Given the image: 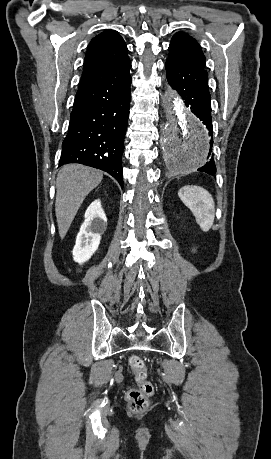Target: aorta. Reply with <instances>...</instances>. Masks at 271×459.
Returning <instances> with one entry per match:
<instances>
[{
	"label": "aorta",
	"instance_id": "aorta-1",
	"mask_svg": "<svg viewBox=\"0 0 271 459\" xmlns=\"http://www.w3.org/2000/svg\"><path fill=\"white\" fill-rule=\"evenodd\" d=\"M181 99L175 97V112L168 117L162 135V153L167 170L172 174L195 171L207 160L208 134L205 128L183 111Z\"/></svg>",
	"mask_w": 271,
	"mask_h": 459
}]
</instances>
